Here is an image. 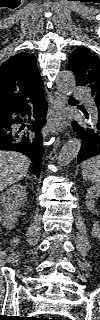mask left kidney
I'll return each instance as SVG.
<instances>
[{
    "label": "left kidney",
    "instance_id": "5707ae66",
    "mask_svg": "<svg viewBox=\"0 0 100 320\" xmlns=\"http://www.w3.org/2000/svg\"><path fill=\"white\" fill-rule=\"evenodd\" d=\"M100 197V185L94 184L88 190L86 194V207L91 212H96L95 210V199ZM93 232L99 233V226L98 224H94Z\"/></svg>",
    "mask_w": 100,
    "mask_h": 320
}]
</instances>
